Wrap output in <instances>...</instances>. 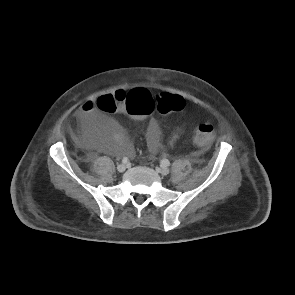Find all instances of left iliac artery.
<instances>
[{
  "label": "left iliac artery",
  "instance_id": "left-iliac-artery-1",
  "mask_svg": "<svg viewBox=\"0 0 295 295\" xmlns=\"http://www.w3.org/2000/svg\"><path fill=\"white\" fill-rule=\"evenodd\" d=\"M161 164H162L163 166H169V165H170V161H169L168 159H163V160L161 161Z\"/></svg>",
  "mask_w": 295,
  "mask_h": 295
}]
</instances>
